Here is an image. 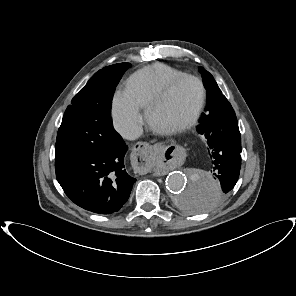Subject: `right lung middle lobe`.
Here are the masks:
<instances>
[{
	"label": "right lung middle lobe",
	"instance_id": "obj_1",
	"mask_svg": "<svg viewBox=\"0 0 296 296\" xmlns=\"http://www.w3.org/2000/svg\"><path fill=\"white\" fill-rule=\"evenodd\" d=\"M130 66L120 63L104 67L72 99L58 130L56 161L123 143L113 128L110 104L118 82Z\"/></svg>",
	"mask_w": 296,
	"mask_h": 296
}]
</instances>
